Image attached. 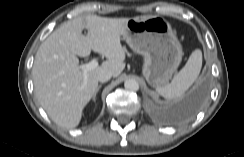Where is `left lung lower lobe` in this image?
Wrapping results in <instances>:
<instances>
[{"instance_id":"obj_1","label":"left lung lower lobe","mask_w":244,"mask_h":157,"mask_svg":"<svg viewBox=\"0 0 244 157\" xmlns=\"http://www.w3.org/2000/svg\"><path fill=\"white\" fill-rule=\"evenodd\" d=\"M204 97V89L200 88L185 96L178 105L177 114L180 119L191 117L199 109Z\"/></svg>"}]
</instances>
